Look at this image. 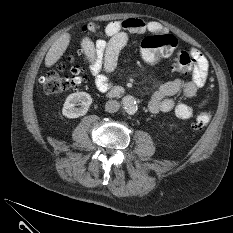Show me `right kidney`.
<instances>
[{
    "mask_svg": "<svg viewBox=\"0 0 233 233\" xmlns=\"http://www.w3.org/2000/svg\"><path fill=\"white\" fill-rule=\"evenodd\" d=\"M79 103L80 107H75ZM92 103L91 96L86 92L70 94L63 105L62 114L67 118L84 116Z\"/></svg>",
    "mask_w": 233,
    "mask_h": 233,
    "instance_id": "1",
    "label": "right kidney"
}]
</instances>
